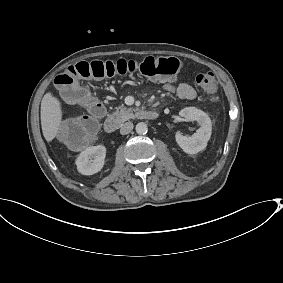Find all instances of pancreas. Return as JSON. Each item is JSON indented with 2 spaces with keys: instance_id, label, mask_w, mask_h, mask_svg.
Here are the masks:
<instances>
[{
  "instance_id": "1",
  "label": "pancreas",
  "mask_w": 283,
  "mask_h": 283,
  "mask_svg": "<svg viewBox=\"0 0 283 283\" xmlns=\"http://www.w3.org/2000/svg\"><path fill=\"white\" fill-rule=\"evenodd\" d=\"M115 109L113 115L121 123L128 121L129 119H134L136 117V112H138V108L132 109L124 106L116 107Z\"/></svg>"
}]
</instances>
